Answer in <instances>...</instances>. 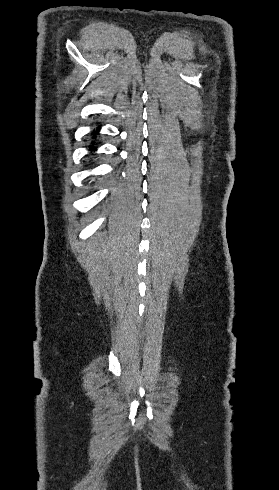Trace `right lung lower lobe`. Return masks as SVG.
Wrapping results in <instances>:
<instances>
[{
	"label": "right lung lower lobe",
	"mask_w": 279,
	"mask_h": 490,
	"mask_svg": "<svg viewBox=\"0 0 279 490\" xmlns=\"http://www.w3.org/2000/svg\"><path fill=\"white\" fill-rule=\"evenodd\" d=\"M98 131H99L98 129H97L96 131H93V133H92V139L96 138V135L98 134ZM94 146H95V143H94V142H92V143L89 145V150H90L91 152H93L94 150H96V147H94Z\"/></svg>",
	"instance_id": "98d812e1"
}]
</instances>
